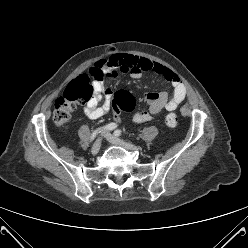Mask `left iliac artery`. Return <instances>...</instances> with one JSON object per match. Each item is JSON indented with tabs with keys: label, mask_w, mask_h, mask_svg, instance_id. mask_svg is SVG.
Segmentation results:
<instances>
[{
	"label": "left iliac artery",
	"mask_w": 248,
	"mask_h": 248,
	"mask_svg": "<svg viewBox=\"0 0 248 248\" xmlns=\"http://www.w3.org/2000/svg\"><path fill=\"white\" fill-rule=\"evenodd\" d=\"M114 135L115 136H120L121 135V130H115Z\"/></svg>",
	"instance_id": "44dca946"
}]
</instances>
